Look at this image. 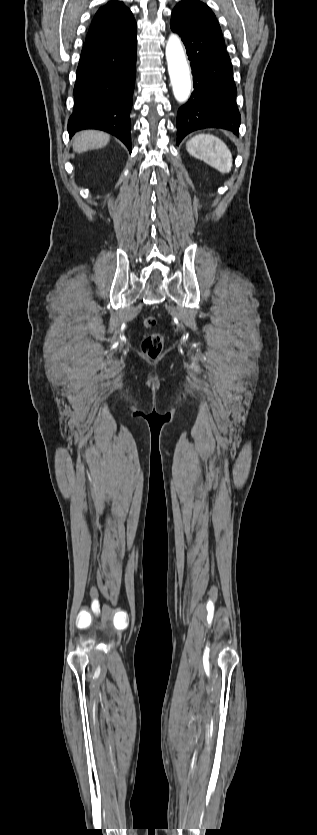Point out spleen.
Listing matches in <instances>:
<instances>
[{
    "label": "spleen",
    "mask_w": 317,
    "mask_h": 835,
    "mask_svg": "<svg viewBox=\"0 0 317 835\" xmlns=\"http://www.w3.org/2000/svg\"><path fill=\"white\" fill-rule=\"evenodd\" d=\"M190 155L204 161L222 174L231 172L233 158L227 145L211 134H198L186 143Z\"/></svg>",
    "instance_id": "spleen-1"
}]
</instances>
